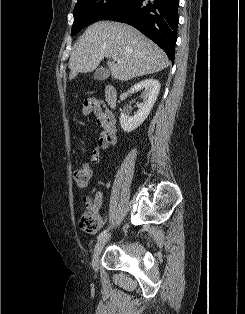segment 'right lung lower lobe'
Returning <instances> with one entry per match:
<instances>
[{"mask_svg": "<svg viewBox=\"0 0 245 314\" xmlns=\"http://www.w3.org/2000/svg\"><path fill=\"white\" fill-rule=\"evenodd\" d=\"M179 0H130L103 19L132 25L149 37L173 61Z\"/></svg>", "mask_w": 245, "mask_h": 314, "instance_id": "right-lung-lower-lobe-1", "label": "right lung lower lobe"}]
</instances>
